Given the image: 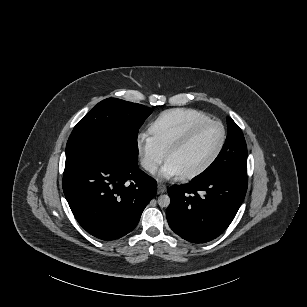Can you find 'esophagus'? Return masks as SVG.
Wrapping results in <instances>:
<instances>
[{
	"instance_id": "34e87169",
	"label": "esophagus",
	"mask_w": 307,
	"mask_h": 307,
	"mask_svg": "<svg viewBox=\"0 0 307 307\" xmlns=\"http://www.w3.org/2000/svg\"><path fill=\"white\" fill-rule=\"evenodd\" d=\"M157 188H158L159 194L165 193L167 191V188H166L165 184H163V183H159Z\"/></svg>"
}]
</instances>
